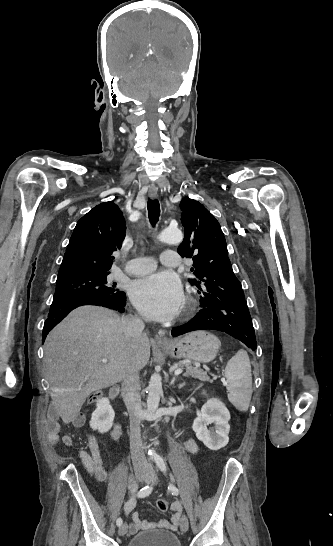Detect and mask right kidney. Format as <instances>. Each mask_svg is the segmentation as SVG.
<instances>
[{
    "mask_svg": "<svg viewBox=\"0 0 333 546\" xmlns=\"http://www.w3.org/2000/svg\"><path fill=\"white\" fill-rule=\"evenodd\" d=\"M114 417L115 412L108 398H101L97 401L96 409L92 413L90 426L93 430L106 433L111 429Z\"/></svg>",
    "mask_w": 333,
    "mask_h": 546,
    "instance_id": "obj_1",
    "label": "right kidney"
}]
</instances>
